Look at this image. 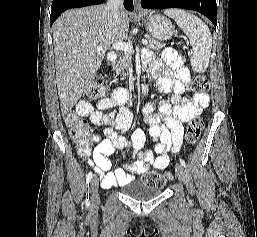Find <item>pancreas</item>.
I'll return each mask as SVG.
<instances>
[{"label":"pancreas","instance_id":"cf45deb5","mask_svg":"<svg viewBox=\"0 0 257 237\" xmlns=\"http://www.w3.org/2000/svg\"><path fill=\"white\" fill-rule=\"evenodd\" d=\"M165 45L152 38H148V49L160 50ZM132 62V52H124L117 63H113L112 67L116 73V76L123 75V79H126L129 75V69Z\"/></svg>","mask_w":257,"mask_h":237}]
</instances>
